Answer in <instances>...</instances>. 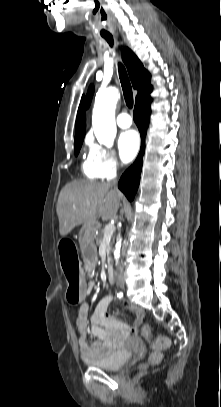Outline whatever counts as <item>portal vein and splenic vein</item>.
I'll use <instances>...</instances> for the list:
<instances>
[{"label": "portal vein and splenic vein", "mask_w": 221, "mask_h": 407, "mask_svg": "<svg viewBox=\"0 0 221 407\" xmlns=\"http://www.w3.org/2000/svg\"><path fill=\"white\" fill-rule=\"evenodd\" d=\"M114 230H115L114 224H108V225H106V227H105V229H104V236L106 237V236L112 235L113 232H114Z\"/></svg>", "instance_id": "18ae733b"}]
</instances>
